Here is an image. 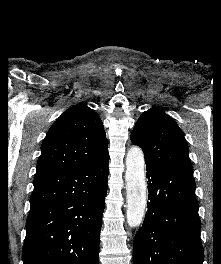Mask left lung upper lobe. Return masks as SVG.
I'll return each mask as SVG.
<instances>
[{"label":"left lung upper lobe","instance_id":"left-lung-upper-lobe-1","mask_svg":"<svg viewBox=\"0 0 221 264\" xmlns=\"http://www.w3.org/2000/svg\"><path fill=\"white\" fill-rule=\"evenodd\" d=\"M131 141L142 148L146 163L193 174L183 132L158 107H152L140 116L132 131Z\"/></svg>","mask_w":221,"mask_h":264}]
</instances>
